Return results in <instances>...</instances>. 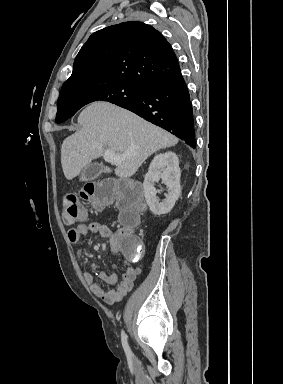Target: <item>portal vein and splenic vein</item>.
Returning <instances> with one entry per match:
<instances>
[{
	"label": "portal vein and splenic vein",
	"mask_w": 283,
	"mask_h": 384,
	"mask_svg": "<svg viewBox=\"0 0 283 384\" xmlns=\"http://www.w3.org/2000/svg\"><path fill=\"white\" fill-rule=\"evenodd\" d=\"M128 154H116L114 150H106L104 154V160L105 162H110V164H121L122 160H125L127 158Z\"/></svg>",
	"instance_id": "obj_1"
}]
</instances>
